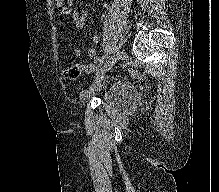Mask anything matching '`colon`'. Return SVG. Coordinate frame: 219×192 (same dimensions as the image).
Listing matches in <instances>:
<instances>
[{
  "mask_svg": "<svg viewBox=\"0 0 219 192\" xmlns=\"http://www.w3.org/2000/svg\"><path fill=\"white\" fill-rule=\"evenodd\" d=\"M58 5L63 3V0H56ZM66 76L69 78H75L81 73V69L78 66H71L66 69L65 71Z\"/></svg>",
  "mask_w": 219,
  "mask_h": 192,
  "instance_id": "5ec220e1",
  "label": "colon"
}]
</instances>
